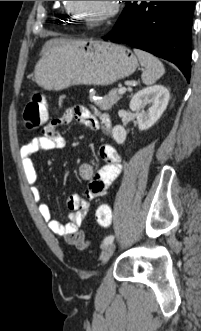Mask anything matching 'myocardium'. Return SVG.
I'll return each mask as SVG.
<instances>
[{
  "mask_svg": "<svg viewBox=\"0 0 201 331\" xmlns=\"http://www.w3.org/2000/svg\"><path fill=\"white\" fill-rule=\"evenodd\" d=\"M66 8H67V10H72L74 13V16L77 19L82 20L83 22L87 23L88 25H96V24H103V23L109 21L110 19H112L119 12L120 4H119V1H110V6L104 13L100 14L99 16H97L95 18H91V19L85 18L84 16L77 13L72 5V1H66Z\"/></svg>",
  "mask_w": 201,
  "mask_h": 331,
  "instance_id": "myocardium-1",
  "label": "myocardium"
}]
</instances>
